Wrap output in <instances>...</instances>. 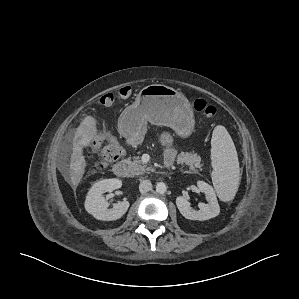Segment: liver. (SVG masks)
<instances>
[{"label":"liver","mask_w":299,"mask_h":299,"mask_svg":"<svg viewBox=\"0 0 299 299\" xmlns=\"http://www.w3.org/2000/svg\"><path fill=\"white\" fill-rule=\"evenodd\" d=\"M97 126L95 118L88 116L80 124L75 135L73 153L70 158V181L73 186H77L84 174L86 161L83 156V147L89 146L96 138Z\"/></svg>","instance_id":"obj_1"}]
</instances>
